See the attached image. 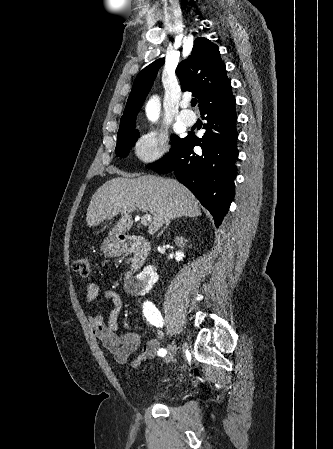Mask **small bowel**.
Masks as SVG:
<instances>
[{
	"label": "small bowel",
	"instance_id": "small-bowel-1",
	"mask_svg": "<svg viewBox=\"0 0 333 449\" xmlns=\"http://www.w3.org/2000/svg\"><path fill=\"white\" fill-rule=\"evenodd\" d=\"M100 289L95 283H90L86 289L85 312L88 325L93 335L102 343L118 365L128 362V357L141 346V338L137 333L119 334L118 319L122 310V299L114 290H106L104 297L110 301L106 316L95 312L92 308L98 299ZM159 347L156 339L146 342L140 352L129 362L131 369L139 368L142 363L151 358Z\"/></svg>",
	"mask_w": 333,
	"mask_h": 449
}]
</instances>
